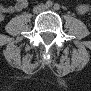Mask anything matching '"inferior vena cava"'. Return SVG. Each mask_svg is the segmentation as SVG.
I'll use <instances>...</instances> for the list:
<instances>
[{"label":"inferior vena cava","instance_id":"1","mask_svg":"<svg viewBox=\"0 0 91 91\" xmlns=\"http://www.w3.org/2000/svg\"><path fill=\"white\" fill-rule=\"evenodd\" d=\"M44 9H45V8L42 7V8H39L38 11H41V10H44Z\"/></svg>","mask_w":91,"mask_h":91}]
</instances>
